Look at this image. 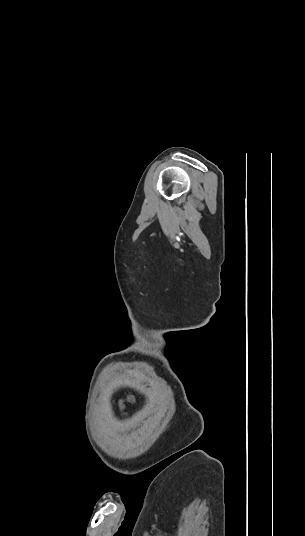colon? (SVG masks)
I'll use <instances>...</instances> for the list:
<instances>
[{"label":"colon","mask_w":305,"mask_h":536,"mask_svg":"<svg viewBox=\"0 0 305 536\" xmlns=\"http://www.w3.org/2000/svg\"><path fill=\"white\" fill-rule=\"evenodd\" d=\"M132 398H133L132 395H128L125 399H120V400L118 401V405H119V407L121 408V410H123L124 402L127 401V400H130V399H132Z\"/></svg>","instance_id":"1"}]
</instances>
